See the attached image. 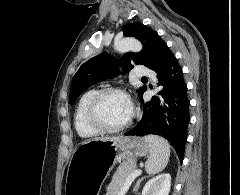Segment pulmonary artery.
I'll list each match as a JSON object with an SVG mask.
<instances>
[{
  "label": "pulmonary artery",
  "mask_w": 240,
  "mask_h": 195,
  "mask_svg": "<svg viewBox=\"0 0 240 195\" xmlns=\"http://www.w3.org/2000/svg\"><path fill=\"white\" fill-rule=\"evenodd\" d=\"M136 70L134 72L135 76H149V69H146V66L136 65Z\"/></svg>",
  "instance_id": "pulmonary-artery-1"
}]
</instances>
